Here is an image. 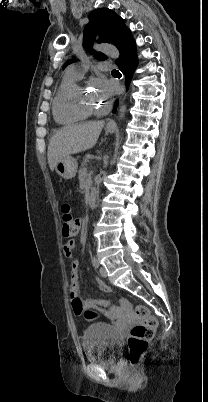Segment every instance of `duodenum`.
Wrapping results in <instances>:
<instances>
[{
    "mask_svg": "<svg viewBox=\"0 0 208 402\" xmlns=\"http://www.w3.org/2000/svg\"><path fill=\"white\" fill-rule=\"evenodd\" d=\"M97 201V192L92 190L88 195V205L90 208L95 207Z\"/></svg>",
    "mask_w": 208,
    "mask_h": 402,
    "instance_id": "duodenum-1",
    "label": "duodenum"
}]
</instances>
